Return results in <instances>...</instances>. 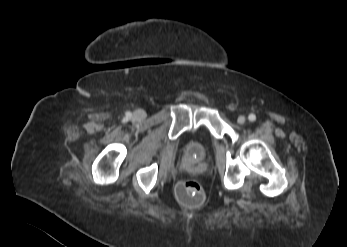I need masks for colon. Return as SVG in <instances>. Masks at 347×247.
<instances>
[{
	"label": "colon",
	"instance_id": "colon-1",
	"mask_svg": "<svg viewBox=\"0 0 347 247\" xmlns=\"http://www.w3.org/2000/svg\"><path fill=\"white\" fill-rule=\"evenodd\" d=\"M180 200L192 207L201 205L205 198L202 185L196 180H185L180 183L178 188Z\"/></svg>",
	"mask_w": 347,
	"mask_h": 247
}]
</instances>
